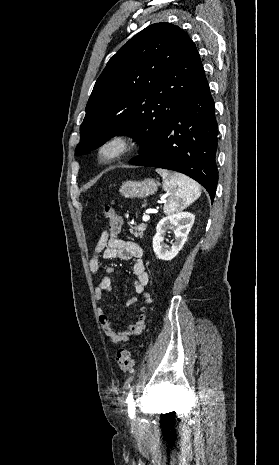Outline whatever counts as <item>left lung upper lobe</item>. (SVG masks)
I'll list each match as a JSON object with an SVG mask.
<instances>
[{"instance_id": "5c2ea615", "label": "left lung upper lobe", "mask_w": 279, "mask_h": 465, "mask_svg": "<svg viewBox=\"0 0 279 465\" xmlns=\"http://www.w3.org/2000/svg\"><path fill=\"white\" fill-rule=\"evenodd\" d=\"M201 65L194 42L178 26L161 22L143 29L109 60L97 79L76 152L129 134L141 140V155L181 109Z\"/></svg>"}]
</instances>
